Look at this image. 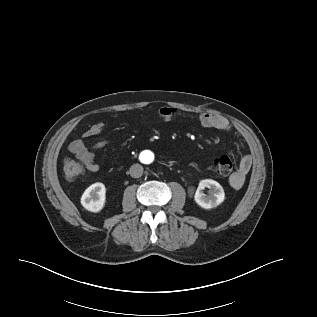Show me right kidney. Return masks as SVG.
<instances>
[{
	"label": "right kidney",
	"mask_w": 317,
	"mask_h": 317,
	"mask_svg": "<svg viewBox=\"0 0 317 317\" xmlns=\"http://www.w3.org/2000/svg\"><path fill=\"white\" fill-rule=\"evenodd\" d=\"M105 194V185L100 182L94 183L84 191L81 204L88 211L99 212L105 205Z\"/></svg>",
	"instance_id": "1"
}]
</instances>
